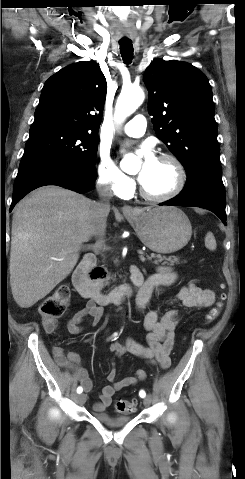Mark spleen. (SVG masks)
<instances>
[{
    "label": "spleen",
    "instance_id": "obj_1",
    "mask_svg": "<svg viewBox=\"0 0 245 479\" xmlns=\"http://www.w3.org/2000/svg\"><path fill=\"white\" fill-rule=\"evenodd\" d=\"M205 246L212 251L216 249V240L212 232H208L205 236Z\"/></svg>",
    "mask_w": 245,
    "mask_h": 479
}]
</instances>
